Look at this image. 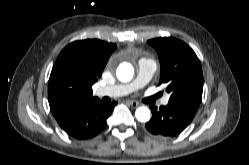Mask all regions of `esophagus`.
Segmentation results:
<instances>
[{
	"label": "esophagus",
	"mask_w": 249,
	"mask_h": 165,
	"mask_svg": "<svg viewBox=\"0 0 249 165\" xmlns=\"http://www.w3.org/2000/svg\"><path fill=\"white\" fill-rule=\"evenodd\" d=\"M127 103L132 106L133 108L138 107L140 104L136 101H127Z\"/></svg>",
	"instance_id": "34e87169"
}]
</instances>
